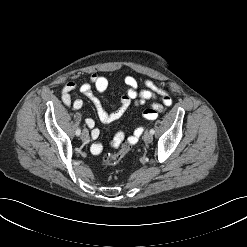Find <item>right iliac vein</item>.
I'll use <instances>...</instances> for the list:
<instances>
[{"label": "right iliac vein", "mask_w": 247, "mask_h": 247, "mask_svg": "<svg viewBox=\"0 0 247 247\" xmlns=\"http://www.w3.org/2000/svg\"><path fill=\"white\" fill-rule=\"evenodd\" d=\"M88 137H89V132H88L87 129H84V130L82 131V133H81V139H82V140H87Z\"/></svg>", "instance_id": "63e3f726"}]
</instances>
